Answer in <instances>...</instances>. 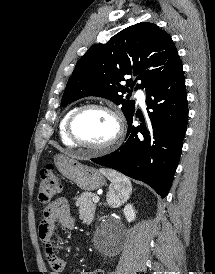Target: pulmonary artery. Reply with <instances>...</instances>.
Listing matches in <instances>:
<instances>
[{
    "label": "pulmonary artery",
    "mask_w": 215,
    "mask_h": 274,
    "mask_svg": "<svg viewBox=\"0 0 215 274\" xmlns=\"http://www.w3.org/2000/svg\"><path fill=\"white\" fill-rule=\"evenodd\" d=\"M136 97L138 99V102L141 106H144L145 105V94L142 90H138L136 92Z\"/></svg>",
    "instance_id": "e3ab8cb5"
}]
</instances>
